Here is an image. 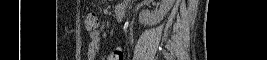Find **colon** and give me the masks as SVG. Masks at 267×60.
I'll use <instances>...</instances> for the list:
<instances>
[{
	"mask_svg": "<svg viewBox=\"0 0 267 60\" xmlns=\"http://www.w3.org/2000/svg\"><path fill=\"white\" fill-rule=\"evenodd\" d=\"M98 18L96 17L95 14L88 13L85 15L84 18V27L86 32L92 34L95 33L97 28H98Z\"/></svg>",
	"mask_w": 267,
	"mask_h": 60,
	"instance_id": "1",
	"label": "colon"
}]
</instances>
